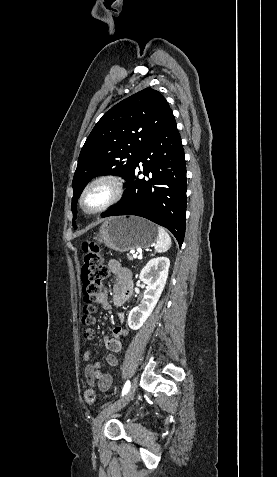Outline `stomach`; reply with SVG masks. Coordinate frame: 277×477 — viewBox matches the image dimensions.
<instances>
[{
	"label": "stomach",
	"mask_w": 277,
	"mask_h": 477,
	"mask_svg": "<svg viewBox=\"0 0 277 477\" xmlns=\"http://www.w3.org/2000/svg\"><path fill=\"white\" fill-rule=\"evenodd\" d=\"M158 238L156 226L137 216H115L108 218L95 237L108 248L126 252L152 246Z\"/></svg>",
	"instance_id": "0dacf381"
}]
</instances>
